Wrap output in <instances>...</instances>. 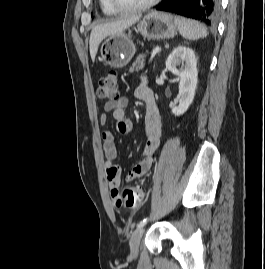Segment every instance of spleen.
<instances>
[{"label":"spleen","instance_id":"1","mask_svg":"<svg viewBox=\"0 0 265 269\" xmlns=\"http://www.w3.org/2000/svg\"><path fill=\"white\" fill-rule=\"evenodd\" d=\"M179 33L188 40H198L208 35L207 29L198 21L187 19L181 16H175Z\"/></svg>","mask_w":265,"mask_h":269}]
</instances>
